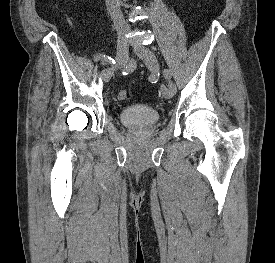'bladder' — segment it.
Segmentation results:
<instances>
[{"label":"bladder","instance_id":"1","mask_svg":"<svg viewBox=\"0 0 275 263\" xmlns=\"http://www.w3.org/2000/svg\"><path fill=\"white\" fill-rule=\"evenodd\" d=\"M160 119V114L149 106L133 105L119 112V120L123 125L143 129L155 125Z\"/></svg>","mask_w":275,"mask_h":263}]
</instances>
